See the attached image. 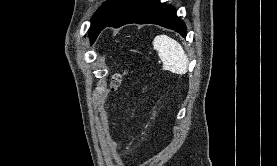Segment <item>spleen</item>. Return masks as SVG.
Instances as JSON below:
<instances>
[{"label": "spleen", "mask_w": 277, "mask_h": 166, "mask_svg": "<svg viewBox=\"0 0 277 166\" xmlns=\"http://www.w3.org/2000/svg\"><path fill=\"white\" fill-rule=\"evenodd\" d=\"M153 48L158 52L165 69L180 75L187 72L188 57L176 40L167 35H158L153 40Z\"/></svg>", "instance_id": "obj_1"}]
</instances>
